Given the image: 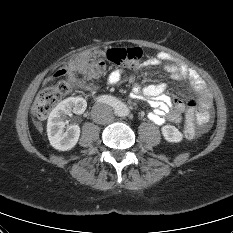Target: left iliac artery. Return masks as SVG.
<instances>
[{
    "instance_id": "44dca946",
    "label": "left iliac artery",
    "mask_w": 233,
    "mask_h": 233,
    "mask_svg": "<svg viewBox=\"0 0 233 233\" xmlns=\"http://www.w3.org/2000/svg\"><path fill=\"white\" fill-rule=\"evenodd\" d=\"M116 113H118V114H122L123 113V110L121 108V104L117 105Z\"/></svg>"
}]
</instances>
